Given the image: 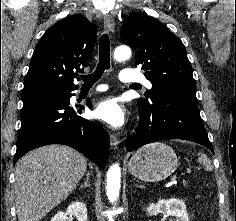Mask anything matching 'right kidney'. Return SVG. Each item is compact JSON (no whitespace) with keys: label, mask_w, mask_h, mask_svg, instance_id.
<instances>
[{"label":"right kidney","mask_w":236,"mask_h":221,"mask_svg":"<svg viewBox=\"0 0 236 221\" xmlns=\"http://www.w3.org/2000/svg\"><path fill=\"white\" fill-rule=\"evenodd\" d=\"M67 215L74 216L78 221H87V208L82 202L76 201L70 204L66 212H58L51 221H66Z\"/></svg>","instance_id":"obj_1"}]
</instances>
